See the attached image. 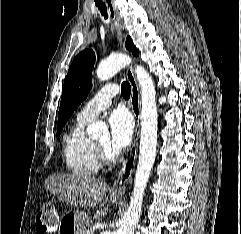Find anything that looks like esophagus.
Returning a JSON list of instances; mask_svg holds the SVG:
<instances>
[{"mask_svg": "<svg viewBox=\"0 0 241 234\" xmlns=\"http://www.w3.org/2000/svg\"><path fill=\"white\" fill-rule=\"evenodd\" d=\"M105 3L108 9V12L112 20L114 21L115 27L117 29L119 44L121 48H123L124 41H123L122 26L117 16L114 2L113 0H105ZM126 75L131 86L130 107L136 120V127H135L134 139H133L129 157L121 166L117 175V179L115 180L111 188V194L115 196H123L125 194L127 184L132 177V173L134 171V167L136 164L137 151H138V139H139V133H140V114H141L140 94H139V87L131 65L127 67Z\"/></svg>", "mask_w": 241, "mask_h": 234, "instance_id": "esophagus-1", "label": "esophagus"}]
</instances>
